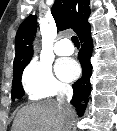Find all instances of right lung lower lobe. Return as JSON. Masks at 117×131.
I'll list each match as a JSON object with an SVG mask.
<instances>
[{
    "instance_id": "1",
    "label": "right lung lower lobe",
    "mask_w": 117,
    "mask_h": 131,
    "mask_svg": "<svg viewBox=\"0 0 117 131\" xmlns=\"http://www.w3.org/2000/svg\"><path fill=\"white\" fill-rule=\"evenodd\" d=\"M79 39L82 43V48L78 54L82 66V77L72 86L74 95L71 104L76 108L78 115L81 117L85 111L88 96L91 91L90 77L92 74V67L90 58L93 50V40L90 32ZM82 101H85V104H81Z\"/></svg>"
}]
</instances>
